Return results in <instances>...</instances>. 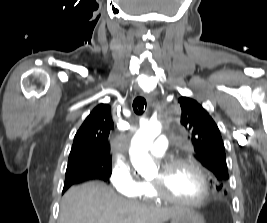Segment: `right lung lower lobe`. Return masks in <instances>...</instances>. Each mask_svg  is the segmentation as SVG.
Segmentation results:
<instances>
[{
  "instance_id": "obj_1",
  "label": "right lung lower lobe",
  "mask_w": 267,
  "mask_h": 223,
  "mask_svg": "<svg viewBox=\"0 0 267 223\" xmlns=\"http://www.w3.org/2000/svg\"><path fill=\"white\" fill-rule=\"evenodd\" d=\"M88 179L104 180V176L98 171L81 170L66 174L64 189L67 190L71 185Z\"/></svg>"
}]
</instances>
